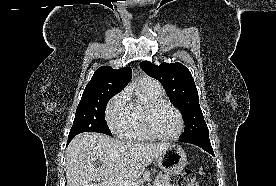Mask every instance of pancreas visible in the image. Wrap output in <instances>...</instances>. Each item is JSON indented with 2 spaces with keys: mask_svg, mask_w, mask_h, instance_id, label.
<instances>
[{
  "mask_svg": "<svg viewBox=\"0 0 276 186\" xmlns=\"http://www.w3.org/2000/svg\"><path fill=\"white\" fill-rule=\"evenodd\" d=\"M154 186H171L170 178L168 174H162L161 172L157 175L155 179Z\"/></svg>",
  "mask_w": 276,
  "mask_h": 186,
  "instance_id": "1",
  "label": "pancreas"
}]
</instances>
